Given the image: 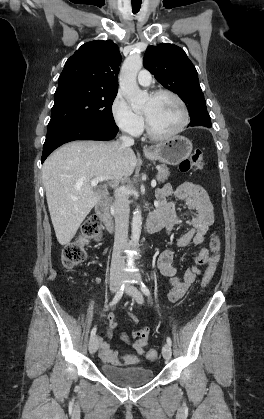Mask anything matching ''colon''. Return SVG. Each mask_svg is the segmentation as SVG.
Here are the masks:
<instances>
[{"label": "colon", "mask_w": 264, "mask_h": 419, "mask_svg": "<svg viewBox=\"0 0 264 419\" xmlns=\"http://www.w3.org/2000/svg\"><path fill=\"white\" fill-rule=\"evenodd\" d=\"M204 164L203 156L200 151L193 152L189 157L184 159L179 164V169L182 172H188L191 169H202ZM102 227L101 221L97 216L89 218L82 228V237L80 240L69 243L65 246L62 252V263L67 269H72L77 265L81 264L86 258V252L84 250V243L87 240H97L101 237ZM211 250L215 253L219 251L220 242L216 234L211 236L210 241ZM216 265H208L204 274L202 285L207 286L212 280L215 273ZM149 360H155L157 358V351L153 348L149 349L146 354Z\"/></svg>", "instance_id": "1"}]
</instances>
